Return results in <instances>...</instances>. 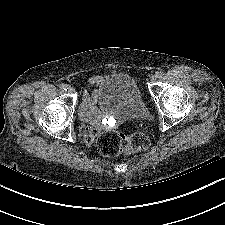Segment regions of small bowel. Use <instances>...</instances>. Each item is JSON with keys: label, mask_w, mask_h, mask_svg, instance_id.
<instances>
[{"label": "small bowel", "mask_w": 225, "mask_h": 225, "mask_svg": "<svg viewBox=\"0 0 225 225\" xmlns=\"http://www.w3.org/2000/svg\"><path fill=\"white\" fill-rule=\"evenodd\" d=\"M101 79L102 78L99 76L93 77L90 79V84L92 86H98ZM96 103V93H89L86 91L83 93V102L79 108V117L84 123L90 124L89 126L83 128L85 141L88 144L93 142L97 131L95 127V118L97 115Z\"/></svg>", "instance_id": "small-bowel-1"}]
</instances>
